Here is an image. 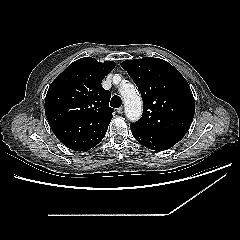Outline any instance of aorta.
<instances>
[{"label": "aorta", "mask_w": 240, "mask_h": 240, "mask_svg": "<svg viewBox=\"0 0 240 240\" xmlns=\"http://www.w3.org/2000/svg\"><path fill=\"white\" fill-rule=\"evenodd\" d=\"M119 92L124 99L125 114L130 121H137L142 114L141 97L134 85L123 84Z\"/></svg>", "instance_id": "obj_1"}]
</instances>
